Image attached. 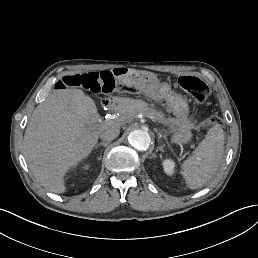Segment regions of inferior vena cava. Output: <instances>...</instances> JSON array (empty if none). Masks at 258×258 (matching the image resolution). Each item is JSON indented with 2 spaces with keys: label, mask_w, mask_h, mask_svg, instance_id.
Returning <instances> with one entry per match:
<instances>
[{
  "label": "inferior vena cava",
  "mask_w": 258,
  "mask_h": 258,
  "mask_svg": "<svg viewBox=\"0 0 258 258\" xmlns=\"http://www.w3.org/2000/svg\"><path fill=\"white\" fill-rule=\"evenodd\" d=\"M119 133H120V130L117 127L110 125L101 132L100 138L103 141H111L116 139Z\"/></svg>",
  "instance_id": "602c4592"
}]
</instances>
